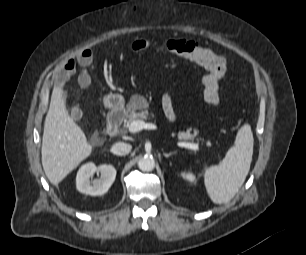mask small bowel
<instances>
[{
    "label": "small bowel",
    "mask_w": 306,
    "mask_h": 255,
    "mask_svg": "<svg viewBox=\"0 0 306 255\" xmlns=\"http://www.w3.org/2000/svg\"><path fill=\"white\" fill-rule=\"evenodd\" d=\"M78 61L82 65H89L92 61V53L89 50H83L78 56ZM75 66V61L73 59H69L65 62L63 70L59 72L56 77V82L59 86H63L67 82L71 74L74 73ZM162 107L166 117L172 122L176 121L177 116L170 95L166 94L163 97Z\"/></svg>",
    "instance_id": "obj_1"
}]
</instances>
